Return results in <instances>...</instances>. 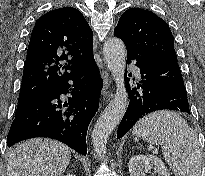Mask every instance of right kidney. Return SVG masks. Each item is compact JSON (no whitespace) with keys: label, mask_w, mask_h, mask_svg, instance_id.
<instances>
[{"label":"right kidney","mask_w":205,"mask_h":176,"mask_svg":"<svg viewBox=\"0 0 205 176\" xmlns=\"http://www.w3.org/2000/svg\"><path fill=\"white\" fill-rule=\"evenodd\" d=\"M64 176H75V175H73V174H67V175H64Z\"/></svg>","instance_id":"ca27d5eb"}]
</instances>
